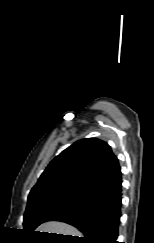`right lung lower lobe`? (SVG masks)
Segmentation results:
<instances>
[{
  "mask_svg": "<svg viewBox=\"0 0 154 243\" xmlns=\"http://www.w3.org/2000/svg\"><path fill=\"white\" fill-rule=\"evenodd\" d=\"M122 181L105 189L75 208H66L50 220L68 223L78 228L83 238L78 243H118L121 216Z\"/></svg>",
  "mask_w": 154,
  "mask_h": 243,
  "instance_id": "obj_1",
  "label": "right lung lower lobe"
}]
</instances>
